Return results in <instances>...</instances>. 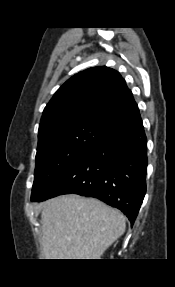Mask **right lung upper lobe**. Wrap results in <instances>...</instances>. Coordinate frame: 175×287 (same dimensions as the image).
Returning <instances> with one entry per match:
<instances>
[{
	"mask_svg": "<svg viewBox=\"0 0 175 287\" xmlns=\"http://www.w3.org/2000/svg\"><path fill=\"white\" fill-rule=\"evenodd\" d=\"M139 112L121 75L108 67H93L71 77L43 111L39 136L54 127L85 122L115 126Z\"/></svg>",
	"mask_w": 175,
	"mask_h": 287,
	"instance_id": "obj_1",
	"label": "right lung upper lobe"
}]
</instances>
